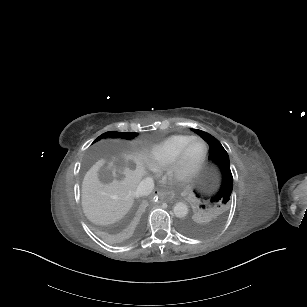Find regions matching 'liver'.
I'll list each match as a JSON object with an SVG mask.
<instances>
[{
	"mask_svg": "<svg viewBox=\"0 0 307 307\" xmlns=\"http://www.w3.org/2000/svg\"><path fill=\"white\" fill-rule=\"evenodd\" d=\"M145 155L119 150L96 161L82 182V207L88 220L109 225L121 220L134 202V193L146 174Z\"/></svg>",
	"mask_w": 307,
	"mask_h": 307,
	"instance_id": "1",
	"label": "liver"
}]
</instances>
